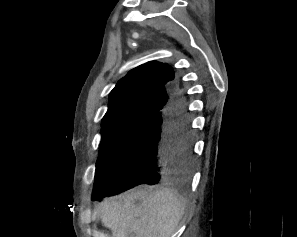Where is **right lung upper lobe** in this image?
I'll list each match as a JSON object with an SVG mask.
<instances>
[{"mask_svg":"<svg viewBox=\"0 0 297 237\" xmlns=\"http://www.w3.org/2000/svg\"><path fill=\"white\" fill-rule=\"evenodd\" d=\"M172 68L152 61L132 69L110 92L102 125L133 116L152 117L164 110L178 89Z\"/></svg>","mask_w":297,"mask_h":237,"instance_id":"cb5924a9","label":"right lung upper lobe"}]
</instances>
